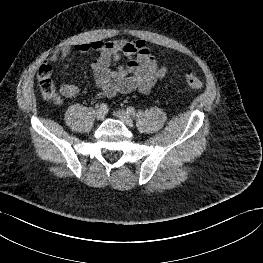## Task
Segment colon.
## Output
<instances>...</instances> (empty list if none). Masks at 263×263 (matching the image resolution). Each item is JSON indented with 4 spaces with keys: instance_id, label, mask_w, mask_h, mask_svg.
<instances>
[{
    "instance_id": "5ec220e1",
    "label": "colon",
    "mask_w": 263,
    "mask_h": 263,
    "mask_svg": "<svg viewBox=\"0 0 263 263\" xmlns=\"http://www.w3.org/2000/svg\"><path fill=\"white\" fill-rule=\"evenodd\" d=\"M38 85L41 94L46 98H51L55 95V84L52 74V68L48 63H44L40 66L37 73ZM186 85L193 91L200 90L203 86V82L193 72H188L185 76Z\"/></svg>"
}]
</instances>
